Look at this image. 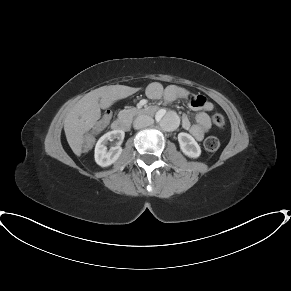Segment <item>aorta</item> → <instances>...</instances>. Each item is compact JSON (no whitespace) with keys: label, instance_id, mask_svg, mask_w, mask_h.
I'll return each instance as SVG.
<instances>
[{"label":"aorta","instance_id":"1","mask_svg":"<svg viewBox=\"0 0 291 291\" xmlns=\"http://www.w3.org/2000/svg\"><path fill=\"white\" fill-rule=\"evenodd\" d=\"M161 128L165 131H174L179 126L178 116L173 112H166L157 116Z\"/></svg>","mask_w":291,"mask_h":291}]
</instances>
